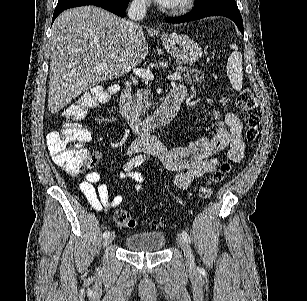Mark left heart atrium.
I'll list each match as a JSON object with an SVG mask.
<instances>
[{
  "label": "left heart atrium",
  "instance_id": "39dd6f15",
  "mask_svg": "<svg viewBox=\"0 0 307 301\" xmlns=\"http://www.w3.org/2000/svg\"><path fill=\"white\" fill-rule=\"evenodd\" d=\"M175 0H158L159 4H173ZM123 62H138V61H123Z\"/></svg>",
  "mask_w": 307,
  "mask_h": 301
}]
</instances>
